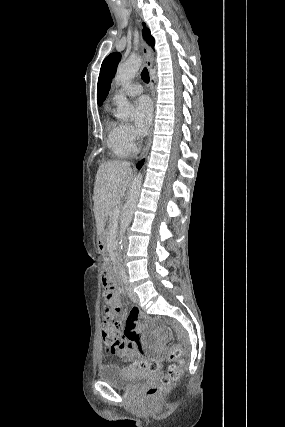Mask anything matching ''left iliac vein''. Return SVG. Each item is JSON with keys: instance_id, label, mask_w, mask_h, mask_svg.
<instances>
[{"instance_id": "left-iliac-vein-1", "label": "left iliac vein", "mask_w": 285, "mask_h": 427, "mask_svg": "<svg viewBox=\"0 0 285 427\" xmlns=\"http://www.w3.org/2000/svg\"><path fill=\"white\" fill-rule=\"evenodd\" d=\"M125 289H126V292L129 296L130 300L134 303H138L139 299H138L137 294L134 292L133 288L130 286H126Z\"/></svg>"}]
</instances>
